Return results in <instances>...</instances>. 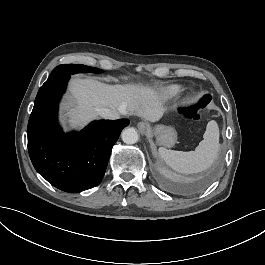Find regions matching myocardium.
<instances>
[{
  "label": "myocardium",
  "mask_w": 265,
  "mask_h": 265,
  "mask_svg": "<svg viewBox=\"0 0 265 265\" xmlns=\"http://www.w3.org/2000/svg\"><path fill=\"white\" fill-rule=\"evenodd\" d=\"M194 99H195V95H194L193 93H187V94L184 96V102H185V103H190V102H192Z\"/></svg>",
  "instance_id": "1"
}]
</instances>
